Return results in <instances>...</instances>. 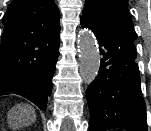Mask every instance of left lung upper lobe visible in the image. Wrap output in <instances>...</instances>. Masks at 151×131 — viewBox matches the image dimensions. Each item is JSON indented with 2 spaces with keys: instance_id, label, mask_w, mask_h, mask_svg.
I'll return each instance as SVG.
<instances>
[{
  "instance_id": "left-lung-upper-lobe-1",
  "label": "left lung upper lobe",
  "mask_w": 151,
  "mask_h": 131,
  "mask_svg": "<svg viewBox=\"0 0 151 131\" xmlns=\"http://www.w3.org/2000/svg\"><path fill=\"white\" fill-rule=\"evenodd\" d=\"M127 3L128 0H86L81 20L90 19L117 31L125 42V49L136 57L134 41L137 35L129 16Z\"/></svg>"
}]
</instances>
